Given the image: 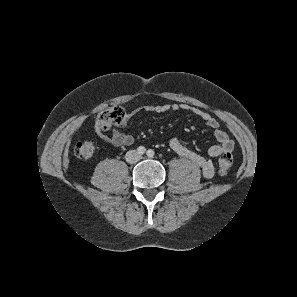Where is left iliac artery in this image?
I'll use <instances>...</instances> for the list:
<instances>
[{"mask_svg": "<svg viewBox=\"0 0 297 297\" xmlns=\"http://www.w3.org/2000/svg\"><path fill=\"white\" fill-rule=\"evenodd\" d=\"M147 156H148V157H153V156H154V151L151 150V149H149V150L147 151Z\"/></svg>", "mask_w": 297, "mask_h": 297, "instance_id": "left-iliac-artery-1", "label": "left iliac artery"}]
</instances>
